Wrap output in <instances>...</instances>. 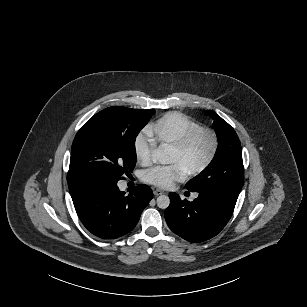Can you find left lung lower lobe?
I'll use <instances>...</instances> for the list:
<instances>
[{
  "instance_id": "0a47b994",
  "label": "left lung lower lobe",
  "mask_w": 307,
  "mask_h": 307,
  "mask_svg": "<svg viewBox=\"0 0 307 307\" xmlns=\"http://www.w3.org/2000/svg\"><path fill=\"white\" fill-rule=\"evenodd\" d=\"M198 193L192 202L170 193L171 202L164 213L169 228L190 242L216 236L229 221L237 201L219 193Z\"/></svg>"
}]
</instances>
